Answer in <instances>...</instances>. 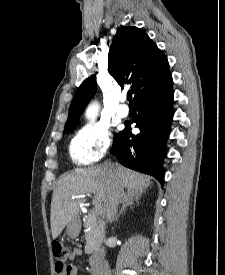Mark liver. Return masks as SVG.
<instances>
[{"label":"liver","mask_w":225,"mask_h":275,"mask_svg":"<svg viewBox=\"0 0 225 275\" xmlns=\"http://www.w3.org/2000/svg\"><path fill=\"white\" fill-rule=\"evenodd\" d=\"M115 177L127 193H143L150 185L147 176L119 165L102 164L63 175L57 182L51 201V231L56 239L64 227L80 213L83 196L94 194L95 207H105Z\"/></svg>","instance_id":"1"}]
</instances>
